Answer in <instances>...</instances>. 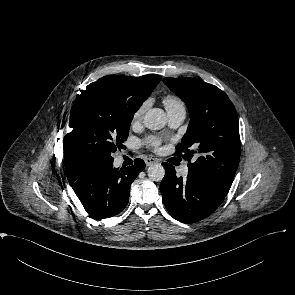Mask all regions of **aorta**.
I'll return each instance as SVG.
<instances>
[{
    "instance_id": "762f6f07",
    "label": "aorta",
    "mask_w": 295,
    "mask_h": 295,
    "mask_svg": "<svg viewBox=\"0 0 295 295\" xmlns=\"http://www.w3.org/2000/svg\"><path fill=\"white\" fill-rule=\"evenodd\" d=\"M143 123L150 130H160L166 125L165 112L160 108L150 109L144 115ZM147 174L151 180L159 182L164 178L165 169L161 164H153L148 167Z\"/></svg>"
}]
</instances>
